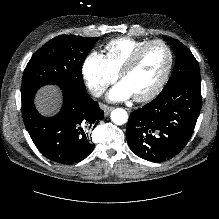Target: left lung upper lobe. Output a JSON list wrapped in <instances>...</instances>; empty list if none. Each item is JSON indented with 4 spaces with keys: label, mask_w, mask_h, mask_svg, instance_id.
Here are the masks:
<instances>
[{
    "label": "left lung upper lobe",
    "mask_w": 219,
    "mask_h": 219,
    "mask_svg": "<svg viewBox=\"0 0 219 219\" xmlns=\"http://www.w3.org/2000/svg\"><path fill=\"white\" fill-rule=\"evenodd\" d=\"M164 40L173 49L176 59L171 78L161 92L167 91L171 86L185 79L200 80L199 64L191 51L176 39L164 36Z\"/></svg>",
    "instance_id": "obj_1"
}]
</instances>
